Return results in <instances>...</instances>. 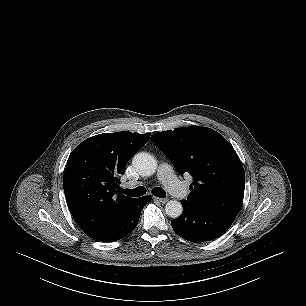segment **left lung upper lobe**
<instances>
[{
	"label": "left lung upper lobe",
	"mask_w": 306,
	"mask_h": 306,
	"mask_svg": "<svg viewBox=\"0 0 306 306\" xmlns=\"http://www.w3.org/2000/svg\"><path fill=\"white\" fill-rule=\"evenodd\" d=\"M151 139L180 174L193 177L186 202L237 216L243 203L245 173L233 146L222 135L191 126L159 132Z\"/></svg>",
	"instance_id": "1"
}]
</instances>
